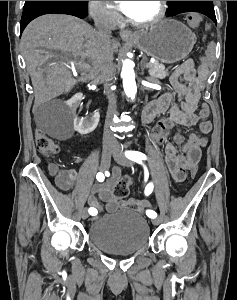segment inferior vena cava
I'll return each instance as SVG.
<instances>
[{"instance_id": "1", "label": "inferior vena cava", "mask_w": 237, "mask_h": 300, "mask_svg": "<svg viewBox=\"0 0 237 300\" xmlns=\"http://www.w3.org/2000/svg\"><path fill=\"white\" fill-rule=\"evenodd\" d=\"M92 17L100 37V71L102 81L104 83L105 95H107V99L109 101L103 139L104 141H114L113 133H111L109 129L112 123V117L114 113H116V97L114 93L110 91V87L112 85L111 81L115 73L113 69V49L110 41L111 33L114 29H116L119 17L117 13L114 17L113 13H111V11H107L104 5H96V7L92 9Z\"/></svg>"}]
</instances>
